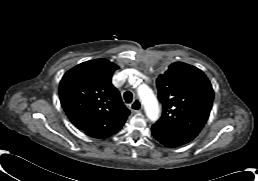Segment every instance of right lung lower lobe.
I'll use <instances>...</instances> for the list:
<instances>
[{
    "label": "right lung lower lobe",
    "instance_id": "1",
    "mask_svg": "<svg viewBox=\"0 0 258 181\" xmlns=\"http://www.w3.org/2000/svg\"><path fill=\"white\" fill-rule=\"evenodd\" d=\"M121 127H122V125H115V126L110 127L107 130L95 132V133H93V134H91L89 136L96 137V138H105V137H108V136L118 132Z\"/></svg>",
    "mask_w": 258,
    "mask_h": 181
}]
</instances>
